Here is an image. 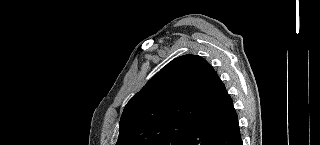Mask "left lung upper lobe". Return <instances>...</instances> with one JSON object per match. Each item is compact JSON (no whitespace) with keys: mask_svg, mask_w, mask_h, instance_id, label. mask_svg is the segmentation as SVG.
<instances>
[{"mask_svg":"<svg viewBox=\"0 0 320 145\" xmlns=\"http://www.w3.org/2000/svg\"><path fill=\"white\" fill-rule=\"evenodd\" d=\"M214 73L197 55L172 60L125 106L116 145H181L210 109Z\"/></svg>","mask_w":320,"mask_h":145,"instance_id":"1","label":"left lung upper lobe"}]
</instances>
